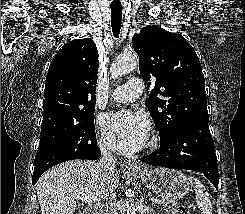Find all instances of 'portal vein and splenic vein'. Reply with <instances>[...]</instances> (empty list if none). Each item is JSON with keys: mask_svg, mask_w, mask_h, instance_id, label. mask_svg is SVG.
<instances>
[{"mask_svg": "<svg viewBox=\"0 0 245 214\" xmlns=\"http://www.w3.org/2000/svg\"><path fill=\"white\" fill-rule=\"evenodd\" d=\"M76 199H80L81 201L89 202V203H97V204L101 203V199L93 195L82 194V195H78ZM151 201L158 204L164 203L163 201L155 198H151Z\"/></svg>", "mask_w": 245, "mask_h": 214, "instance_id": "1", "label": "portal vein and splenic vein"}]
</instances>
